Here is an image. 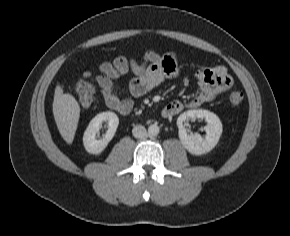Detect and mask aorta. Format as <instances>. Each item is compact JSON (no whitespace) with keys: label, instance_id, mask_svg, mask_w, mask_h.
Returning a JSON list of instances; mask_svg holds the SVG:
<instances>
[{"label":"aorta","instance_id":"762f6f07","mask_svg":"<svg viewBox=\"0 0 290 236\" xmlns=\"http://www.w3.org/2000/svg\"><path fill=\"white\" fill-rule=\"evenodd\" d=\"M159 126L157 124H152L148 127V134L151 136H156L159 134Z\"/></svg>","mask_w":290,"mask_h":236}]
</instances>
